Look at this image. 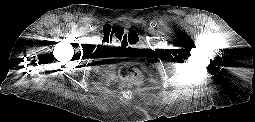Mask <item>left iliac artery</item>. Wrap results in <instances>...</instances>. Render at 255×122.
Here are the masks:
<instances>
[{
  "instance_id": "left-iliac-artery-1",
  "label": "left iliac artery",
  "mask_w": 255,
  "mask_h": 122,
  "mask_svg": "<svg viewBox=\"0 0 255 122\" xmlns=\"http://www.w3.org/2000/svg\"><path fill=\"white\" fill-rule=\"evenodd\" d=\"M157 25V22L156 21H152L151 23H150V26L151 27H155Z\"/></svg>"
}]
</instances>
